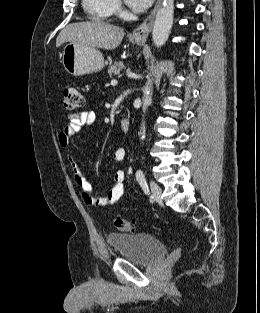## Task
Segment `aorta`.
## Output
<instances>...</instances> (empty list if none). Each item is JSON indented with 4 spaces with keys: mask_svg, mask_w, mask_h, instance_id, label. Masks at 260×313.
<instances>
[{
    "mask_svg": "<svg viewBox=\"0 0 260 313\" xmlns=\"http://www.w3.org/2000/svg\"><path fill=\"white\" fill-rule=\"evenodd\" d=\"M174 17V0H164L162 6L159 8L154 26L152 31V39L157 48L162 47L167 41ZM152 79H148L144 88H143V97H142V110L146 112L148 106L151 102V92H152ZM143 130L140 132V139L143 141L145 139V126L143 124Z\"/></svg>",
    "mask_w": 260,
    "mask_h": 313,
    "instance_id": "762f6f07",
    "label": "aorta"
}]
</instances>
